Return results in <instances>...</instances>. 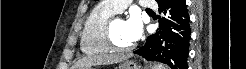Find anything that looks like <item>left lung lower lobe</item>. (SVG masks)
Here are the masks:
<instances>
[{"label":"left lung lower lobe","instance_id":"1","mask_svg":"<svg viewBox=\"0 0 246 69\" xmlns=\"http://www.w3.org/2000/svg\"><path fill=\"white\" fill-rule=\"evenodd\" d=\"M160 27L143 47L134 51L149 61H159L171 69H187L190 26L185 0H159Z\"/></svg>","mask_w":246,"mask_h":69}]
</instances>
